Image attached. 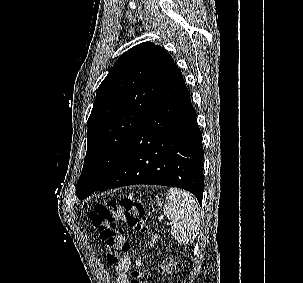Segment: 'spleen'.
Masks as SVG:
<instances>
[{
	"instance_id": "spleen-1",
	"label": "spleen",
	"mask_w": 303,
	"mask_h": 283,
	"mask_svg": "<svg viewBox=\"0 0 303 283\" xmlns=\"http://www.w3.org/2000/svg\"><path fill=\"white\" fill-rule=\"evenodd\" d=\"M163 213L171 221V234L175 240L181 244L194 241L200 225V208L190 193L170 188Z\"/></svg>"
}]
</instances>
